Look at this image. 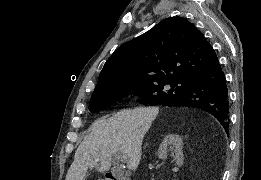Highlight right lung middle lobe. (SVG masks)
Instances as JSON below:
<instances>
[{"instance_id":"dd1d6c3e","label":"right lung middle lobe","mask_w":261,"mask_h":180,"mask_svg":"<svg viewBox=\"0 0 261 180\" xmlns=\"http://www.w3.org/2000/svg\"><path fill=\"white\" fill-rule=\"evenodd\" d=\"M178 84L180 86H178ZM185 86L186 81L177 80H162L138 85L91 99L89 110L91 112L101 111L114 105L118 100L129 94L139 95L142 98L139 102L145 105H161L167 100L180 95L185 89Z\"/></svg>"}]
</instances>
